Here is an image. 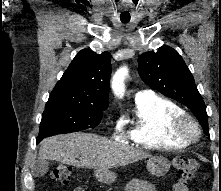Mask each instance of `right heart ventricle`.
Returning <instances> with one entry per match:
<instances>
[{
  "label": "right heart ventricle",
  "instance_id": "e07e8e85",
  "mask_svg": "<svg viewBox=\"0 0 221 191\" xmlns=\"http://www.w3.org/2000/svg\"><path fill=\"white\" fill-rule=\"evenodd\" d=\"M181 114H184L182 108L162 96L135 102V116L126 136L135 146L145 149L185 148L189 142L171 133L172 122Z\"/></svg>",
  "mask_w": 221,
  "mask_h": 191
}]
</instances>
